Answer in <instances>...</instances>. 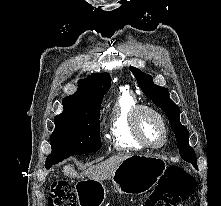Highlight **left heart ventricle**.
I'll list each match as a JSON object with an SVG mask.
<instances>
[{"mask_svg":"<svg viewBox=\"0 0 221 206\" xmlns=\"http://www.w3.org/2000/svg\"><path fill=\"white\" fill-rule=\"evenodd\" d=\"M141 130L145 139L150 144H159L163 139V130L160 122L150 113L141 116Z\"/></svg>","mask_w":221,"mask_h":206,"instance_id":"1","label":"left heart ventricle"}]
</instances>
